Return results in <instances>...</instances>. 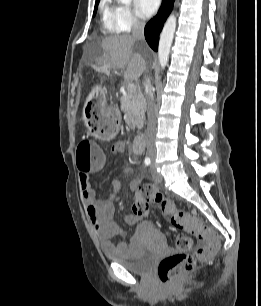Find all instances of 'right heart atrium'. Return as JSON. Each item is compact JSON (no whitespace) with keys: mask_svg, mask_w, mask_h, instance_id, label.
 I'll return each mask as SVG.
<instances>
[{"mask_svg":"<svg viewBox=\"0 0 261 306\" xmlns=\"http://www.w3.org/2000/svg\"><path fill=\"white\" fill-rule=\"evenodd\" d=\"M115 19L121 31L128 32L141 24L139 17L127 5H118L115 7Z\"/></svg>","mask_w":261,"mask_h":306,"instance_id":"right-heart-atrium-1","label":"right heart atrium"}]
</instances>
